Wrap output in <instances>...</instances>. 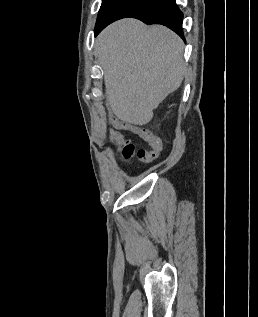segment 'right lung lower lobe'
<instances>
[{
  "mask_svg": "<svg viewBox=\"0 0 258 317\" xmlns=\"http://www.w3.org/2000/svg\"><path fill=\"white\" fill-rule=\"evenodd\" d=\"M133 17L146 24H162L183 40V14L175 0H103L95 25V36L110 23Z\"/></svg>",
  "mask_w": 258,
  "mask_h": 317,
  "instance_id": "1",
  "label": "right lung lower lobe"
}]
</instances>
